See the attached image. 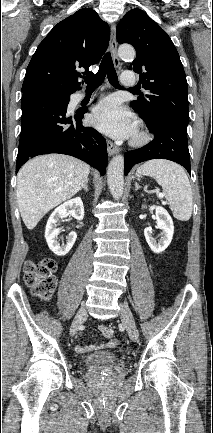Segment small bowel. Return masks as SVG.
I'll use <instances>...</instances> for the list:
<instances>
[{"mask_svg":"<svg viewBox=\"0 0 213 433\" xmlns=\"http://www.w3.org/2000/svg\"><path fill=\"white\" fill-rule=\"evenodd\" d=\"M118 345V340L114 339L102 345H76L75 349L78 353H87L96 348H114Z\"/></svg>","mask_w":213,"mask_h":433,"instance_id":"c3829d8e","label":"small bowel"}]
</instances>
